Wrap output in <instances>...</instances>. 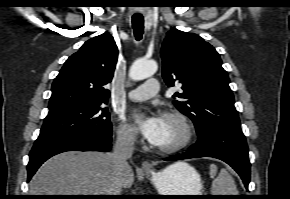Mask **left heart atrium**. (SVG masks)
<instances>
[{
	"mask_svg": "<svg viewBox=\"0 0 290 199\" xmlns=\"http://www.w3.org/2000/svg\"><path fill=\"white\" fill-rule=\"evenodd\" d=\"M134 122L142 136L155 145L161 132L163 116L157 113H136Z\"/></svg>",
	"mask_w": 290,
	"mask_h": 199,
	"instance_id": "obj_1",
	"label": "left heart atrium"
}]
</instances>
